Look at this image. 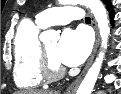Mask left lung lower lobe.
Wrapping results in <instances>:
<instances>
[{"instance_id": "obj_1", "label": "left lung lower lobe", "mask_w": 121, "mask_h": 94, "mask_svg": "<svg viewBox=\"0 0 121 94\" xmlns=\"http://www.w3.org/2000/svg\"><path fill=\"white\" fill-rule=\"evenodd\" d=\"M106 4V9L109 11V15H110V20L111 23L113 24V18H114V11H113V7H112V3L111 2H104Z\"/></svg>"}]
</instances>
